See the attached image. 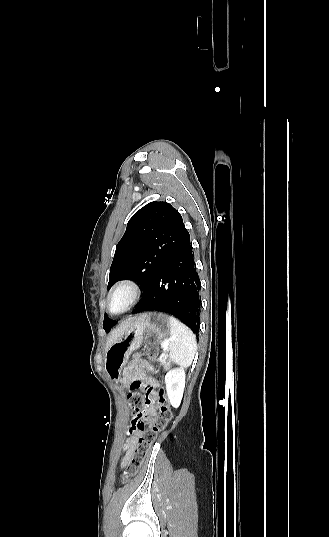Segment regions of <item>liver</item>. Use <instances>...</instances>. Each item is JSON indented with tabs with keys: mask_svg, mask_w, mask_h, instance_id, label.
<instances>
[{
	"mask_svg": "<svg viewBox=\"0 0 329 537\" xmlns=\"http://www.w3.org/2000/svg\"><path fill=\"white\" fill-rule=\"evenodd\" d=\"M136 318H128L124 320L116 329L112 330L106 343V350L122 335L135 321Z\"/></svg>",
	"mask_w": 329,
	"mask_h": 537,
	"instance_id": "obj_1",
	"label": "liver"
}]
</instances>
